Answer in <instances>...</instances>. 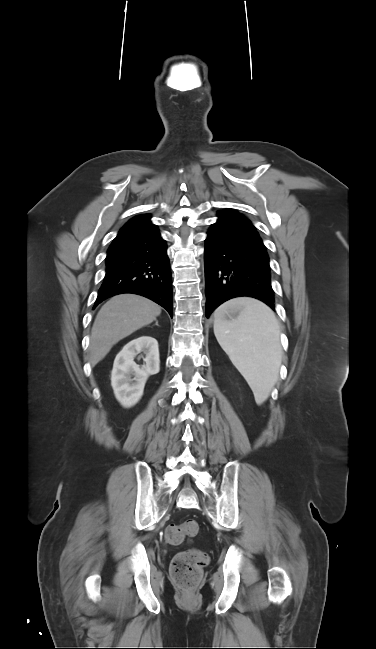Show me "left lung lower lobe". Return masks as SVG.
<instances>
[{"instance_id":"obj_1","label":"left lung lower lobe","mask_w":376,"mask_h":649,"mask_svg":"<svg viewBox=\"0 0 376 649\" xmlns=\"http://www.w3.org/2000/svg\"><path fill=\"white\" fill-rule=\"evenodd\" d=\"M206 317L223 302L257 298L275 310L269 256L255 227L238 217L219 216L205 240Z\"/></svg>"}]
</instances>
